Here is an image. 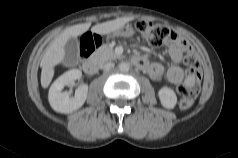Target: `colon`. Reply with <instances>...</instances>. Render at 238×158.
<instances>
[{
  "label": "colon",
  "mask_w": 238,
  "mask_h": 158,
  "mask_svg": "<svg viewBox=\"0 0 238 158\" xmlns=\"http://www.w3.org/2000/svg\"><path fill=\"white\" fill-rule=\"evenodd\" d=\"M135 28L140 32L142 37L153 47L162 45L169 39H172L175 34L167 26L156 24L146 20H138L135 23ZM101 43L98 36L87 34L81 39L80 51L83 57L88 56ZM184 63L188 67L189 81L178 88L179 105L181 108H189L196 99L200 91V80L202 72L197 54L191 47H188Z\"/></svg>",
  "instance_id": "colon-1"
}]
</instances>
